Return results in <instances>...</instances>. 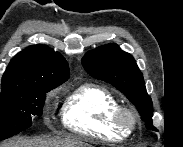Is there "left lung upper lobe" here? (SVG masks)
Segmentation results:
<instances>
[{
  "label": "left lung upper lobe",
  "mask_w": 183,
  "mask_h": 147,
  "mask_svg": "<svg viewBox=\"0 0 183 147\" xmlns=\"http://www.w3.org/2000/svg\"><path fill=\"white\" fill-rule=\"evenodd\" d=\"M85 70L94 78L110 83L133 103L148 129L152 125V100L134 58L111 43L89 51L82 59Z\"/></svg>",
  "instance_id": "1"
}]
</instances>
